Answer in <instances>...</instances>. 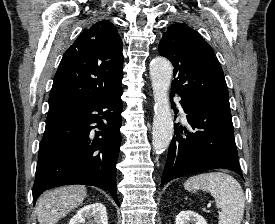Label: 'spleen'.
Segmentation results:
<instances>
[{"label": "spleen", "instance_id": "obj_1", "mask_svg": "<svg viewBox=\"0 0 275 224\" xmlns=\"http://www.w3.org/2000/svg\"><path fill=\"white\" fill-rule=\"evenodd\" d=\"M184 188L196 192H209L221 209L218 224H241L244 215L245 197L241 185L232 176L223 172L194 175L186 180Z\"/></svg>", "mask_w": 275, "mask_h": 224}]
</instances>
